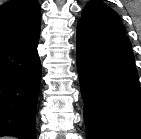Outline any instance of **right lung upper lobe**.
<instances>
[{"label": "right lung upper lobe", "instance_id": "obj_1", "mask_svg": "<svg viewBox=\"0 0 141 139\" xmlns=\"http://www.w3.org/2000/svg\"><path fill=\"white\" fill-rule=\"evenodd\" d=\"M40 4L36 0H10L0 6V47L40 33Z\"/></svg>", "mask_w": 141, "mask_h": 139}]
</instances>
